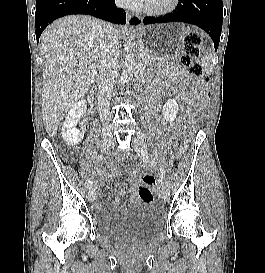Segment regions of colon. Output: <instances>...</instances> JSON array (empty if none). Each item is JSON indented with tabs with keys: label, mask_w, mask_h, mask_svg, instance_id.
<instances>
[{
	"label": "colon",
	"mask_w": 265,
	"mask_h": 273,
	"mask_svg": "<svg viewBox=\"0 0 265 273\" xmlns=\"http://www.w3.org/2000/svg\"><path fill=\"white\" fill-rule=\"evenodd\" d=\"M201 50V37L198 33H188L184 38V43L181 51V62L187 70L197 76H203V69L197 61ZM204 81L207 83L209 78L204 76ZM129 173L133 176L137 175V171L130 169ZM139 197L145 203H151L155 199L153 189L150 185L144 184L139 187Z\"/></svg>",
	"instance_id": "obj_1"
}]
</instances>
